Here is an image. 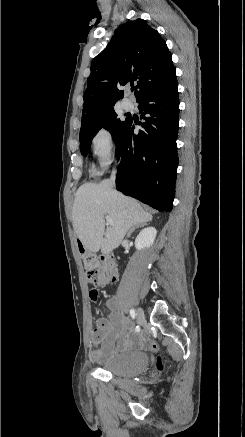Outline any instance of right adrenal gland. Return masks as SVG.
<instances>
[{
    "label": "right adrenal gland",
    "mask_w": 245,
    "mask_h": 437,
    "mask_svg": "<svg viewBox=\"0 0 245 437\" xmlns=\"http://www.w3.org/2000/svg\"><path fill=\"white\" fill-rule=\"evenodd\" d=\"M144 225H145V223L140 224V225L133 226V227L129 230L128 234H131V233H132L136 228L143 227Z\"/></svg>",
    "instance_id": "2a0ac1e0"
}]
</instances>
